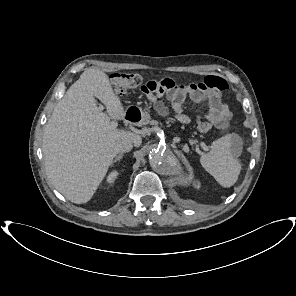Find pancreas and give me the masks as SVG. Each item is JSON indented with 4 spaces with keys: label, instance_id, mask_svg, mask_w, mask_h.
<instances>
[{
    "label": "pancreas",
    "instance_id": "pancreas-1",
    "mask_svg": "<svg viewBox=\"0 0 296 296\" xmlns=\"http://www.w3.org/2000/svg\"><path fill=\"white\" fill-rule=\"evenodd\" d=\"M152 124H155V125H156V124H158V122H156V121H153V122H152Z\"/></svg>",
    "mask_w": 296,
    "mask_h": 296
}]
</instances>
